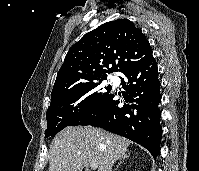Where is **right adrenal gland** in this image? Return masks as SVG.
Returning <instances> with one entry per match:
<instances>
[{"instance_id": "obj_1", "label": "right adrenal gland", "mask_w": 199, "mask_h": 171, "mask_svg": "<svg viewBox=\"0 0 199 171\" xmlns=\"http://www.w3.org/2000/svg\"><path fill=\"white\" fill-rule=\"evenodd\" d=\"M130 155H128L127 153H123L121 158H120V162L118 163L116 169L120 166V164L123 162V160H125L126 158H128Z\"/></svg>"}]
</instances>
